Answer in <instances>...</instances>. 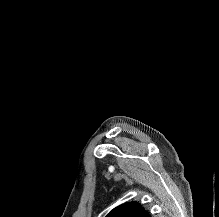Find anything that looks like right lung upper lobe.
Wrapping results in <instances>:
<instances>
[{
  "label": "right lung upper lobe",
  "instance_id": "obj_1",
  "mask_svg": "<svg viewBox=\"0 0 219 217\" xmlns=\"http://www.w3.org/2000/svg\"><path fill=\"white\" fill-rule=\"evenodd\" d=\"M107 217H150V215L136 202H131L114 208Z\"/></svg>",
  "mask_w": 219,
  "mask_h": 217
}]
</instances>
